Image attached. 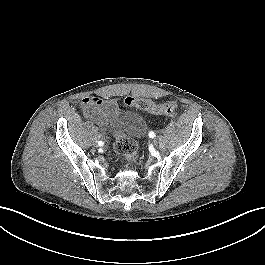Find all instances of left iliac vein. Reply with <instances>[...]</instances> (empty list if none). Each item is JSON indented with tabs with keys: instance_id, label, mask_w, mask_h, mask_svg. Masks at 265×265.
I'll return each mask as SVG.
<instances>
[{
	"instance_id": "obj_1",
	"label": "left iliac vein",
	"mask_w": 265,
	"mask_h": 265,
	"mask_svg": "<svg viewBox=\"0 0 265 265\" xmlns=\"http://www.w3.org/2000/svg\"><path fill=\"white\" fill-rule=\"evenodd\" d=\"M157 147L159 149H163L164 148V141L162 140V138H159Z\"/></svg>"
}]
</instances>
